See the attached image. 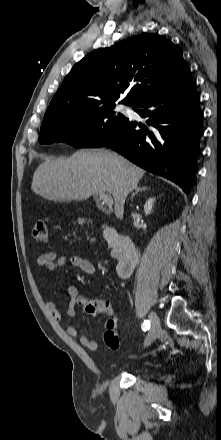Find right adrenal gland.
Instances as JSON below:
<instances>
[{
  "instance_id": "2a0ac1e0",
  "label": "right adrenal gland",
  "mask_w": 221,
  "mask_h": 440,
  "mask_svg": "<svg viewBox=\"0 0 221 440\" xmlns=\"http://www.w3.org/2000/svg\"><path fill=\"white\" fill-rule=\"evenodd\" d=\"M134 189H135V192H133L132 195H131V200H132V201H133V198L135 197V195H136L138 192H140V191H145V190H147L148 188H147V187H138V186H136Z\"/></svg>"
}]
</instances>
